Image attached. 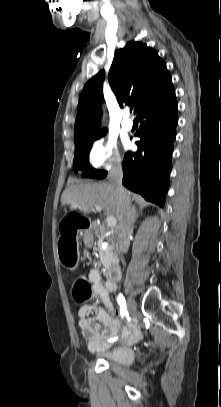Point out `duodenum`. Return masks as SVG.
Segmentation results:
<instances>
[{
  "mask_svg": "<svg viewBox=\"0 0 221 407\" xmlns=\"http://www.w3.org/2000/svg\"><path fill=\"white\" fill-rule=\"evenodd\" d=\"M121 277V269L119 265H111L107 270V279L112 282H117Z\"/></svg>",
  "mask_w": 221,
  "mask_h": 407,
  "instance_id": "duodenum-1",
  "label": "duodenum"
}]
</instances>
